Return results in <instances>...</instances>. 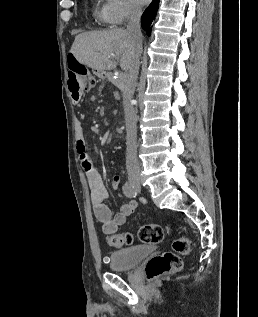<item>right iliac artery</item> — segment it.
Wrapping results in <instances>:
<instances>
[{"label":"right iliac artery","instance_id":"1","mask_svg":"<svg viewBox=\"0 0 258 317\" xmlns=\"http://www.w3.org/2000/svg\"><path fill=\"white\" fill-rule=\"evenodd\" d=\"M123 192L128 198H134L137 195L136 189L129 182H126L123 186Z\"/></svg>","mask_w":258,"mask_h":317}]
</instances>
